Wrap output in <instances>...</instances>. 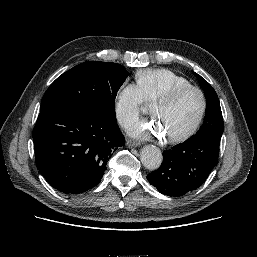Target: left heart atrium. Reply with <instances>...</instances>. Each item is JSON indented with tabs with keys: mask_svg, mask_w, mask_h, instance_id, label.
Segmentation results:
<instances>
[{
	"mask_svg": "<svg viewBox=\"0 0 257 257\" xmlns=\"http://www.w3.org/2000/svg\"><path fill=\"white\" fill-rule=\"evenodd\" d=\"M132 133L142 137H150L157 134V130L145 123H141L132 128Z\"/></svg>",
	"mask_w": 257,
	"mask_h": 257,
	"instance_id": "left-heart-atrium-1",
	"label": "left heart atrium"
}]
</instances>
